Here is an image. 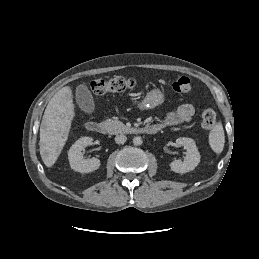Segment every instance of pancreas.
<instances>
[{"label": "pancreas", "instance_id": "pancreas-1", "mask_svg": "<svg viewBox=\"0 0 259 259\" xmlns=\"http://www.w3.org/2000/svg\"><path fill=\"white\" fill-rule=\"evenodd\" d=\"M103 125L109 134L127 133L130 131L129 127L115 119L108 118L103 122Z\"/></svg>", "mask_w": 259, "mask_h": 259}]
</instances>
